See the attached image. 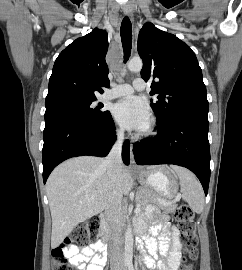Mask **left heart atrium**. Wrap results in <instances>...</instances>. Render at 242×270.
<instances>
[{
  "label": "left heart atrium",
  "mask_w": 242,
  "mask_h": 270,
  "mask_svg": "<svg viewBox=\"0 0 242 270\" xmlns=\"http://www.w3.org/2000/svg\"><path fill=\"white\" fill-rule=\"evenodd\" d=\"M113 115L122 126L131 130H144L150 121L149 107L134 96L117 102L113 107Z\"/></svg>",
  "instance_id": "39dd6f15"
}]
</instances>
